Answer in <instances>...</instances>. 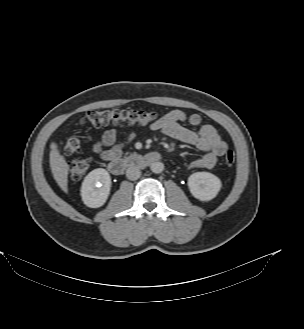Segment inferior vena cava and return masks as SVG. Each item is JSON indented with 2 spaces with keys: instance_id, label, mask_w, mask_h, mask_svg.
<instances>
[{
  "instance_id": "602c4592",
  "label": "inferior vena cava",
  "mask_w": 304,
  "mask_h": 329,
  "mask_svg": "<svg viewBox=\"0 0 304 329\" xmlns=\"http://www.w3.org/2000/svg\"><path fill=\"white\" fill-rule=\"evenodd\" d=\"M141 175V171L138 167H135V166H131L127 169L126 171V177L129 179V180H137Z\"/></svg>"
}]
</instances>
